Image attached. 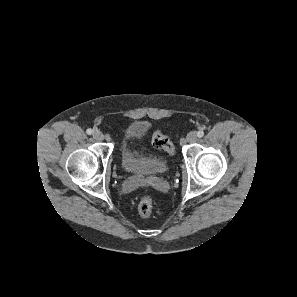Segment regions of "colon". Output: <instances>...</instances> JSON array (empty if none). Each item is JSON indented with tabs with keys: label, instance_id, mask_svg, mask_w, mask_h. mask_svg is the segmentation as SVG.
Segmentation results:
<instances>
[{
	"label": "colon",
	"instance_id": "colon-1",
	"mask_svg": "<svg viewBox=\"0 0 297 297\" xmlns=\"http://www.w3.org/2000/svg\"><path fill=\"white\" fill-rule=\"evenodd\" d=\"M152 144L155 148L166 151L168 154L173 155L175 148L170 139L161 131H156L152 136ZM153 210V200L149 195L141 198L138 204V213L141 217L147 218L151 215Z\"/></svg>",
	"mask_w": 297,
	"mask_h": 297
}]
</instances>
